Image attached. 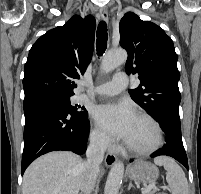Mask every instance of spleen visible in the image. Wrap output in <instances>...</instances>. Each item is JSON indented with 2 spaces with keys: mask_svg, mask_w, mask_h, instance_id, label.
<instances>
[{
  "mask_svg": "<svg viewBox=\"0 0 201 194\" xmlns=\"http://www.w3.org/2000/svg\"><path fill=\"white\" fill-rule=\"evenodd\" d=\"M154 163L163 166L167 171L166 181L172 194H188V182L185 173L174 159L160 156L154 159Z\"/></svg>",
  "mask_w": 201,
  "mask_h": 194,
  "instance_id": "spleen-1",
  "label": "spleen"
}]
</instances>
